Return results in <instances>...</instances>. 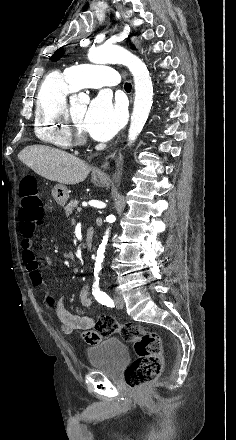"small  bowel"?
Instances as JSON below:
<instances>
[{
	"label": "small bowel",
	"mask_w": 236,
	"mask_h": 440,
	"mask_svg": "<svg viewBox=\"0 0 236 440\" xmlns=\"http://www.w3.org/2000/svg\"><path fill=\"white\" fill-rule=\"evenodd\" d=\"M22 259L29 272L30 279L36 288L44 291V304L45 306L54 311L61 324V331L65 335H70L73 332L80 334L82 339H100L101 331L93 330L95 320L88 315H79L69 312L63 303V297L55 299L49 291L45 288V284L39 270V265L35 252L32 248V241L29 237H25L21 241ZM80 302L84 307L91 306V299L89 297L88 285H84L79 292ZM51 301L54 303L52 304ZM94 344L97 342H89Z\"/></svg>",
	"instance_id": "1"
}]
</instances>
